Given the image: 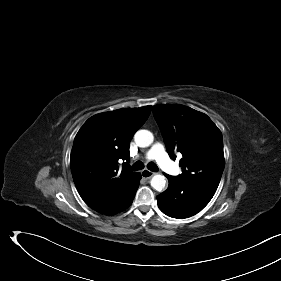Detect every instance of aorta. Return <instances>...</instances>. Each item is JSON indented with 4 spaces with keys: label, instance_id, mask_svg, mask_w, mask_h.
Wrapping results in <instances>:
<instances>
[{
    "label": "aorta",
    "instance_id": "762f6f07",
    "mask_svg": "<svg viewBox=\"0 0 281 281\" xmlns=\"http://www.w3.org/2000/svg\"><path fill=\"white\" fill-rule=\"evenodd\" d=\"M135 142L139 147H148L153 143L154 136L148 130H139L134 136ZM151 186L156 190L161 192L166 184L165 177L163 175H154L151 179Z\"/></svg>",
    "mask_w": 281,
    "mask_h": 281
}]
</instances>
